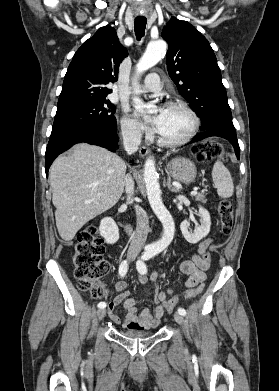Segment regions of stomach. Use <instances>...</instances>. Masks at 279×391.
Segmentation results:
<instances>
[{"label":"stomach","mask_w":279,"mask_h":391,"mask_svg":"<svg viewBox=\"0 0 279 391\" xmlns=\"http://www.w3.org/2000/svg\"><path fill=\"white\" fill-rule=\"evenodd\" d=\"M166 171L173 179L186 184L191 183L197 173L195 164L183 157L172 159L166 165Z\"/></svg>","instance_id":"0dacf381"}]
</instances>
